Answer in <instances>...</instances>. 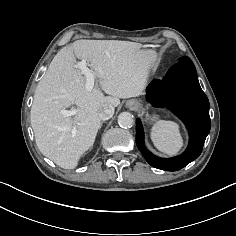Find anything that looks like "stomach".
Wrapping results in <instances>:
<instances>
[{"mask_svg": "<svg viewBox=\"0 0 236 236\" xmlns=\"http://www.w3.org/2000/svg\"><path fill=\"white\" fill-rule=\"evenodd\" d=\"M157 118H158L157 116H153V117L150 118V120L153 122V121H156Z\"/></svg>", "mask_w": 236, "mask_h": 236, "instance_id": "obj_1", "label": "stomach"}]
</instances>
